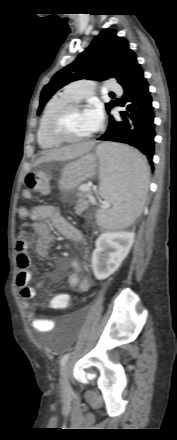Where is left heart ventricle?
Wrapping results in <instances>:
<instances>
[{
	"label": "left heart ventricle",
	"mask_w": 177,
	"mask_h": 440,
	"mask_svg": "<svg viewBox=\"0 0 177 440\" xmlns=\"http://www.w3.org/2000/svg\"><path fill=\"white\" fill-rule=\"evenodd\" d=\"M62 128L64 134L70 138H82L91 134L85 110L69 113L63 122Z\"/></svg>",
	"instance_id": "b2bd125f"
}]
</instances>
